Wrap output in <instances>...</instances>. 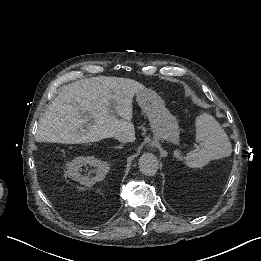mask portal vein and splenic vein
I'll return each instance as SVG.
<instances>
[{
	"label": "portal vein and splenic vein",
	"mask_w": 261,
	"mask_h": 261,
	"mask_svg": "<svg viewBox=\"0 0 261 261\" xmlns=\"http://www.w3.org/2000/svg\"><path fill=\"white\" fill-rule=\"evenodd\" d=\"M88 125H89V123H86V124L83 126V129L87 128Z\"/></svg>",
	"instance_id": "obj_1"
}]
</instances>
